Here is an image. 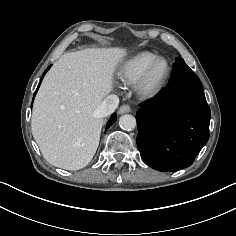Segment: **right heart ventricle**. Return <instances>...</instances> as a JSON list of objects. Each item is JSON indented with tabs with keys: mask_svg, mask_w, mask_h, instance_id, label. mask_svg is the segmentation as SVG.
Wrapping results in <instances>:
<instances>
[{
	"mask_svg": "<svg viewBox=\"0 0 236 236\" xmlns=\"http://www.w3.org/2000/svg\"><path fill=\"white\" fill-rule=\"evenodd\" d=\"M157 58L158 55L150 51L138 52L124 62L118 75L123 82L134 83Z\"/></svg>",
	"mask_w": 236,
	"mask_h": 236,
	"instance_id": "e07e8e85",
	"label": "right heart ventricle"
}]
</instances>
